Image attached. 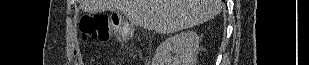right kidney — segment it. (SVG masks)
<instances>
[{"label":"right kidney","mask_w":309,"mask_h":65,"mask_svg":"<svg viewBox=\"0 0 309 65\" xmlns=\"http://www.w3.org/2000/svg\"><path fill=\"white\" fill-rule=\"evenodd\" d=\"M198 49L199 36L195 31L180 32L158 46L152 65H194ZM171 53L175 54L173 58Z\"/></svg>","instance_id":"obj_1"}]
</instances>
